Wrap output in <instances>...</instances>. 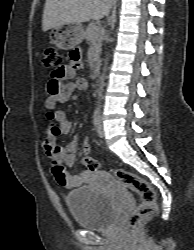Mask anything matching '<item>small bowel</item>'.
Here are the masks:
<instances>
[{
    "label": "small bowel",
    "mask_w": 194,
    "mask_h": 250,
    "mask_svg": "<svg viewBox=\"0 0 194 250\" xmlns=\"http://www.w3.org/2000/svg\"><path fill=\"white\" fill-rule=\"evenodd\" d=\"M82 67L81 61H71L70 64L56 70L47 84L48 97L45 100V107L48 111V122L45 129V140L43 148L45 154L50 159L51 171L56 181L63 187L76 188L87 182L91 176L88 170L82 171L78 175H72L67 169L75 164V150L78 136L65 146L57 144L58 134H68L73 126L72 121L62 110H57L59 104H66L74 99L75 90H83L88 86L84 78L72 80L78 69ZM52 121H56L55 127Z\"/></svg>",
    "instance_id": "small-bowel-1"
}]
</instances>
